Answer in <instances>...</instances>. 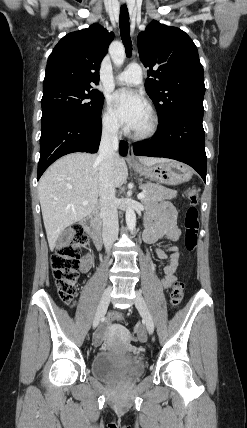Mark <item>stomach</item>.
<instances>
[{
    "instance_id": "0dacf381",
    "label": "stomach",
    "mask_w": 247,
    "mask_h": 428,
    "mask_svg": "<svg viewBox=\"0 0 247 428\" xmlns=\"http://www.w3.org/2000/svg\"><path fill=\"white\" fill-rule=\"evenodd\" d=\"M135 170L141 176L165 185H179L192 177L191 168L178 161H167L152 166H136Z\"/></svg>"
}]
</instances>
